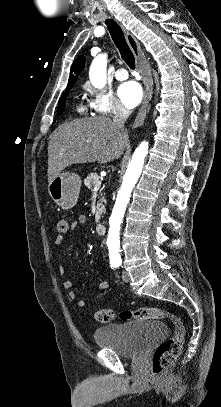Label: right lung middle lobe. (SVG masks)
<instances>
[{"mask_svg":"<svg viewBox=\"0 0 221 407\" xmlns=\"http://www.w3.org/2000/svg\"><path fill=\"white\" fill-rule=\"evenodd\" d=\"M71 88H67L66 91H69ZM67 93L63 94L60 98L58 109H57V115H61L64 108H65V101H66Z\"/></svg>","mask_w":221,"mask_h":407,"instance_id":"dd1d6c3e","label":"right lung middle lobe"}]
</instances>
